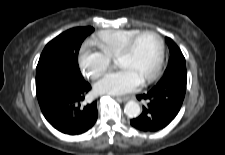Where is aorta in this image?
Listing matches in <instances>:
<instances>
[{
  "mask_svg": "<svg viewBox=\"0 0 225 155\" xmlns=\"http://www.w3.org/2000/svg\"><path fill=\"white\" fill-rule=\"evenodd\" d=\"M124 113L129 118H136L140 115L141 109L137 102L135 101H128L124 107Z\"/></svg>",
  "mask_w": 225,
  "mask_h": 155,
  "instance_id": "aorta-1",
  "label": "aorta"
}]
</instances>
